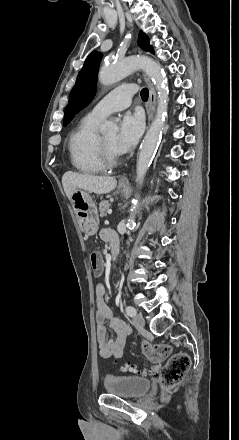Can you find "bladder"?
Instances as JSON below:
<instances>
[{"label": "bladder", "instance_id": "obj_1", "mask_svg": "<svg viewBox=\"0 0 239 440\" xmlns=\"http://www.w3.org/2000/svg\"><path fill=\"white\" fill-rule=\"evenodd\" d=\"M103 386L107 393L125 398H137L145 395L149 391L151 381L148 378L140 376L108 374L103 379Z\"/></svg>", "mask_w": 239, "mask_h": 440}]
</instances>
